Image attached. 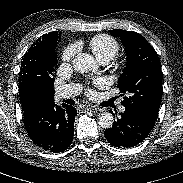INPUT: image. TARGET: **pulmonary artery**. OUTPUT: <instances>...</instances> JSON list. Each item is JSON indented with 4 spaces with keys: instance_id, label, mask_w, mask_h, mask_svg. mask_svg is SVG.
I'll return each instance as SVG.
<instances>
[{
    "instance_id": "pulmonary-artery-1",
    "label": "pulmonary artery",
    "mask_w": 183,
    "mask_h": 183,
    "mask_svg": "<svg viewBox=\"0 0 183 183\" xmlns=\"http://www.w3.org/2000/svg\"><path fill=\"white\" fill-rule=\"evenodd\" d=\"M100 62H101V64L108 63L107 60H102ZM79 89H80L79 86L75 85V84H67V85L60 86L55 91V98L57 101H59V100L65 99V98L73 97L78 94ZM119 110H120V112H124L125 107L121 106L119 108Z\"/></svg>"
}]
</instances>
